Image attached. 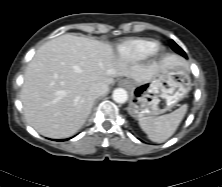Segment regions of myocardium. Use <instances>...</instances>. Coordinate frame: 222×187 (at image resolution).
Wrapping results in <instances>:
<instances>
[{"mask_svg": "<svg viewBox=\"0 0 222 187\" xmlns=\"http://www.w3.org/2000/svg\"><path fill=\"white\" fill-rule=\"evenodd\" d=\"M162 53V50L160 47L156 46V48L154 49L153 53L154 55H160Z\"/></svg>", "mask_w": 222, "mask_h": 187, "instance_id": "f54148a6", "label": "myocardium"}]
</instances>
